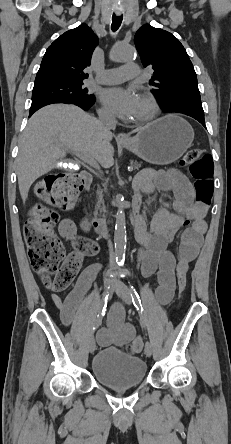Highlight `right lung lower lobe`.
Returning a JSON list of instances; mask_svg holds the SVG:
<instances>
[{
    "label": "right lung lower lobe",
    "mask_w": 231,
    "mask_h": 444,
    "mask_svg": "<svg viewBox=\"0 0 231 444\" xmlns=\"http://www.w3.org/2000/svg\"><path fill=\"white\" fill-rule=\"evenodd\" d=\"M53 103H67V104L72 103V104H75V105L81 107V108L84 109V110H88V109L93 105V103H90V104H81V103H76V102L46 101V102H41V103H37V104H32V105H31V108H30V114H29V117H30L35 111H37L38 109H40L41 107L46 106V105H49V104H53Z\"/></svg>",
    "instance_id": "98d812e1"
}]
</instances>
